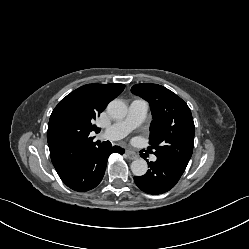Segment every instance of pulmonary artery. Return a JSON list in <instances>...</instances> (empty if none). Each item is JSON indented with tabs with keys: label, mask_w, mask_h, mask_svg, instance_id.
Instances as JSON below:
<instances>
[{
	"label": "pulmonary artery",
	"mask_w": 249,
	"mask_h": 249,
	"mask_svg": "<svg viewBox=\"0 0 249 249\" xmlns=\"http://www.w3.org/2000/svg\"><path fill=\"white\" fill-rule=\"evenodd\" d=\"M148 108L149 105L146 101L133 100L129 105L126 117L103 130L100 133V138L111 141L124 138L145 120ZM151 160L156 161L157 157L153 155Z\"/></svg>",
	"instance_id": "pulmonary-artery-1"
}]
</instances>
